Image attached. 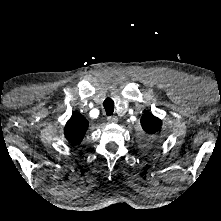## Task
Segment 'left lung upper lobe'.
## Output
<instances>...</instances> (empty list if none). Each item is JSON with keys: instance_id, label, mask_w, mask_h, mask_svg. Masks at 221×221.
Here are the masks:
<instances>
[{"instance_id": "1", "label": "left lung upper lobe", "mask_w": 221, "mask_h": 221, "mask_svg": "<svg viewBox=\"0 0 221 221\" xmlns=\"http://www.w3.org/2000/svg\"><path fill=\"white\" fill-rule=\"evenodd\" d=\"M141 126L146 133L152 135L161 128L162 121L152 113L148 112L142 116Z\"/></svg>"}]
</instances>
